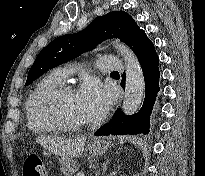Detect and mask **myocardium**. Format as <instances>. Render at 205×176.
Instances as JSON below:
<instances>
[{"label": "myocardium", "mask_w": 205, "mask_h": 176, "mask_svg": "<svg viewBox=\"0 0 205 176\" xmlns=\"http://www.w3.org/2000/svg\"><path fill=\"white\" fill-rule=\"evenodd\" d=\"M73 86L68 84H61L54 87L52 90L47 92L40 100L38 113L39 116L53 125L55 130L59 131H78L88 126V123H68L63 121L57 108L58 100L67 94L73 93Z\"/></svg>", "instance_id": "myocardium-1"}]
</instances>
